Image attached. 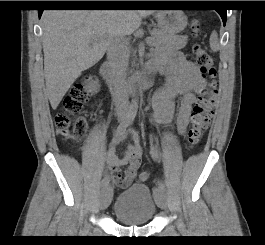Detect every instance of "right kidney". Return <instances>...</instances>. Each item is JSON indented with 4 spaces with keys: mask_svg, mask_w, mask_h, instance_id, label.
Masks as SVG:
<instances>
[{
    "mask_svg": "<svg viewBox=\"0 0 265 245\" xmlns=\"http://www.w3.org/2000/svg\"><path fill=\"white\" fill-rule=\"evenodd\" d=\"M99 83L98 81H89L87 82V89L89 92H92V93H97L98 90H99Z\"/></svg>",
    "mask_w": 265,
    "mask_h": 245,
    "instance_id": "right-kidney-1",
    "label": "right kidney"
}]
</instances>
